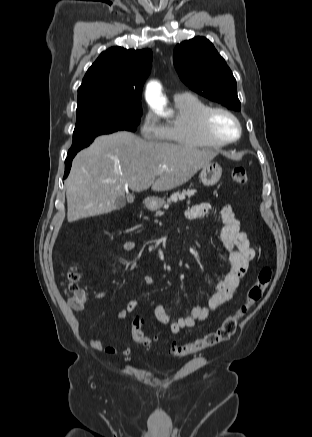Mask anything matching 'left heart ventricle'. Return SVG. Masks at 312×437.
<instances>
[{"instance_id": "1", "label": "left heart ventricle", "mask_w": 312, "mask_h": 437, "mask_svg": "<svg viewBox=\"0 0 312 437\" xmlns=\"http://www.w3.org/2000/svg\"><path fill=\"white\" fill-rule=\"evenodd\" d=\"M210 125L213 133L221 139H230L237 134L235 122L223 113L215 114L211 119Z\"/></svg>"}]
</instances>
